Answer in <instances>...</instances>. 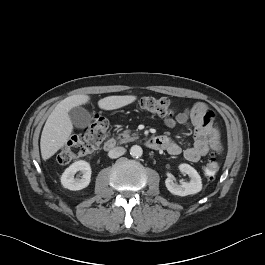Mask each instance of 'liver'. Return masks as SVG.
Listing matches in <instances>:
<instances>
[{"instance_id":"liver-1","label":"liver","mask_w":265,"mask_h":265,"mask_svg":"<svg viewBox=\"0 0 265 265\" xmlns=\"http://www.w3.org/2000/svg\"><path fill=\"white\" fill-rule=\"evenodd\" d=\"M137 99L134 95L108 96L98 101V106L104 110H114L131 104ZM90 100L88 95H73L62 100L49 115L40 140L43 160L52 157L68 141L73 131L69 111Z\"/></svg>"}]
</instances>
